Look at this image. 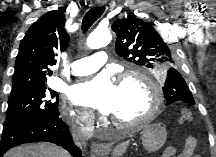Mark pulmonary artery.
Returning <instances> with one entry per match:
<instances>
[{"label":"pulmonary artery","instance_id":"pulmonary-artery-1","mask_svg":"<svg viewBox=\"0 0 216 157\" xmlns=\"http://www.w3.org/2000/svg\"><path fill=\"white\" fill-rule=\"evenodd\" d=\"M108 56L104 51H99L91 56L83 57L71 63L72 75L81 76L98 71L106 62Z\"/></svg>","mask_w":216,"mask_h":157}]
</instances>
